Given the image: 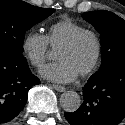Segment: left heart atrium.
<instances>
[{
  "label": "left heart atrium",
  "mask_w": 125,
  "mask_h": 125,
  "mask_svg": "<svg viewBox=\"0 0 125 125\" xmlns=\"http://www.w3.org/2000/svg\"><path fill=\"white\" fill-rule=\"evenodd\" d=\"M41 75L54 82L69 83L75 80L78 74L67 62L58 60L44 67L41 71Z\"/></svg>",
  "instance_id": "39dd6f15"
}]
</instances>
